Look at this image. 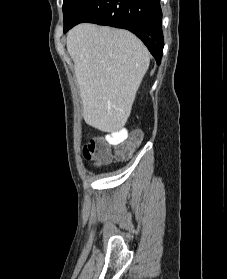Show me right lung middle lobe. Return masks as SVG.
Here are the masks:
<instances>
[{
	"mask_svg": "<svg viewBox=\"0 0 227 279\" xmlns=\"http://www.w3.org/2000/svg\"><path fill=\"white\" fill-rule=\"evenodd\" d=\"M84 0H63L64 33L70 28L76 12Z\"/></svg>",
	"mask_w": 227,
	"mask_h": 279,
	"instance_id": "dd1d6c3e",
	"label": "right lung middle lobe"
}]
</instances>
